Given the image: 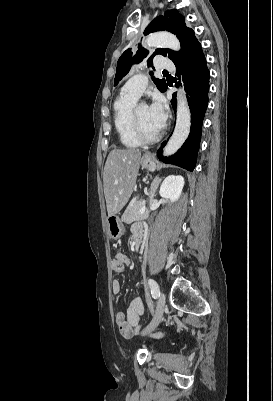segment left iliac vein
<instances>
[{
	"mask_svg": "<svg viewBox=\"0 0 273 401\" xmlns=\"http://www.w3.org/2000/svg\"><path fill=\"white\" fill-rule=\"evenodd\" d=\"M165 306H166V302H165V296L164 294L161 292L159 298H158V302H157V306H156V312L154 314L153 320L151 321V323L149 325H147V327L143 330V335H146L148 333H151L152 331H154L157 326L159 325L164 311H165Z\"/></svg>",
	"mask_w": 273,
	"mask_h": 401,
	"instance_id": "1",
	"label": "left iliac vein"
}]
</instances>
